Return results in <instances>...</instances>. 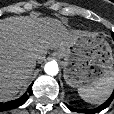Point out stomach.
<instances>
[{
  "mask_svg": "<svg viewBox=\"0 0 114 114\" xmlns=\"http://www.w3.org/2000/svg\"><path fill=\"white\" fill-rule=\"evenodd\" d=\"M54 55L62 59L64 79L74 88L94 85L113 71L111 46L97 34L83 33Z\"/></svg>",
  "mask_w": 114,
  "mask_h": 114,
  "instance_id": "0dacf381",
  "label": "stomach"
}]
</instances>
